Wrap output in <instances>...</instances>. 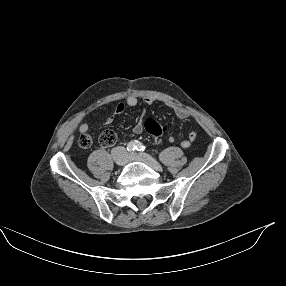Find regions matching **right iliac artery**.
<instances>
[{"label":"right iliac artery","mask_w":286,"mask_h":286,"mask_svg":"<svg viewBox=\"0 0 286 286\" xmlns=\"http://www.w3.org/2000/svg\"><path fill=\"white\" fill-rule=\"evenodd\" d=\"M127 150L129 152H133L135 150V143L134 142H130L128 145H127Z\"/></svg>","instance_id":"obj_1"}]
</instances>
